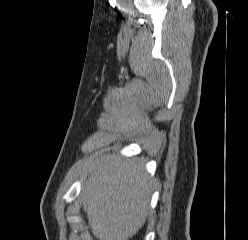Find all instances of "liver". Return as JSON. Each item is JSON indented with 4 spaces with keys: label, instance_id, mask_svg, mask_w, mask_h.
Returning <instances> with one entry per match:
<instances>
[{
    "label": "liver",
    "instance_id": "obj_1",
    "mask_svg": "<svg viewBox=\"0 0 248 240\" xmlns=\"http://www.w3.org/2000/svg\"><path fill=\"white\" fill-rule=\"evenodd\" d=\"M81 195L97 239L128 240L146 221L151 185L140 159L109 154L88 168Z\"/></svg>",
    "mask_w": 248,
    "mask_h": 240
}]
</instances>
